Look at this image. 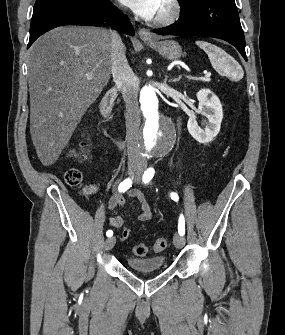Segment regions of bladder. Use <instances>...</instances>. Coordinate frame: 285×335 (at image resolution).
<instances>
[{
	"instance_id": "obj_1",
	"label": "bladder",
	"mask_w": 285,
	"mask_h": 335,
	"mask_svg": "<svg viewBox=\"0 0 285 335\" xmlns=\"http://www.w3.org/2000/svg\"><path fill=\"white\" fill-rule=\"evenodd\" d=\"M127 265H131V271L136 273L159 272V265L162 264V259L166 258L163 254H154L146 257H131L127 256Z\"/></svg>"
}]
</instances>
